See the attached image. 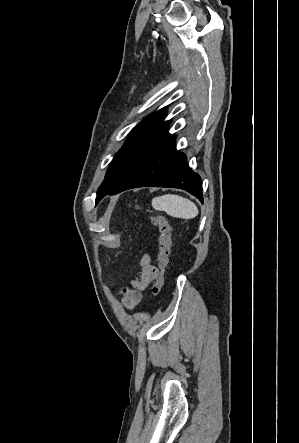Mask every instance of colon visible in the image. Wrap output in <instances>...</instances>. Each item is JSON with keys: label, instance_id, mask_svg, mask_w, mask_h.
Returning a JSON list of instances; mask_svg holds the SVG:
<instances>
[{"label": "colon", "instance_id": "1", "mask_svg": "<svg viewBox=\"0 0 299 443\" xmlns=\"http://www.w3.org/2000/svg\"><path fill=\"white\" fill-rule=\"evenodd\" d=\"M151 223L158 229V265L156 280L153 286V294L159 296L164 282V271L168 264L171 244V232L168 221L159 215L150 217Z\"/></svg>", "mask_w": 299, "mask_h": 443}]
</instances>
